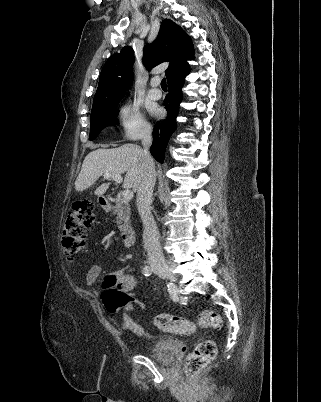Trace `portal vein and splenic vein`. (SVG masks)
<instances>
[{"mask_svg": "<svg viewBox=\"0 0 321 402\" xmlns=\"http://www.w3.org/2000/svg\"><path fill=\"white\" fill-rule=\"evenodd\" d=\"M104 178L108 179V178H112L113 180H115L117 183H121L122 182V177L121 174H117V173H104ZM122 197L125 200H130L133 198V192L129 189H126L122 192Z\"/></svg>", "mask_w": 321, "mask_h": 402, "instance_id": "portal-vein-and-splenic-vein-1", "label": "portal vein and splenic vein"}]
</instances>
